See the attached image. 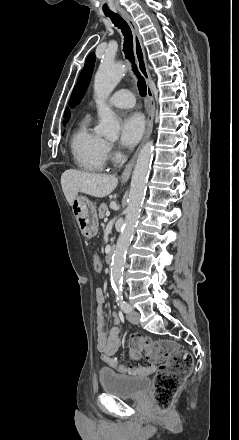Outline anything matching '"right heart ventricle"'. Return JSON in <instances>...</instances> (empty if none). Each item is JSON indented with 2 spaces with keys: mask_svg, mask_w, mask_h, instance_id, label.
<instances>
[{
  "mask_svg": "<svg viewBox=\"0 0 239 440\" xmlns=\"http://www.w3.org/2000/svg\"><path fill=\"white\" fill-rule=\"evenodd\" d=\"M105 142L92 133L83 122L72 134L69 140L70 153L74 164L87 172L102 171L107 162L104 151Z\"/></svg>",
  "mask_w": 239,
  "mask_h": 440,
  "instance_id": "e07e8e85",
  "label": "right heart ventricle"
}]
</instances>
